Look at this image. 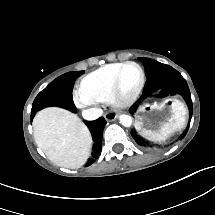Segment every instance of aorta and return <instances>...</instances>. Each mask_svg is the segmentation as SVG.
I'll use <instances>...</instances> for the list:
<instances>
[{"mask_svg": "<svg viewBox=\"0 0 215 215\" xmlns=\"http://www.w3.org/2000/svg\"><path fill=\"white\" fill-rule=\"evenodd\" d=\"M119 120L124 127H130L132 124V118L129 115L122 114L119 116Z\"/></svg>", "mask_w": 215, "mask_h": 215, "instance_id": "1", "label": "aorta"}]
</instances>
